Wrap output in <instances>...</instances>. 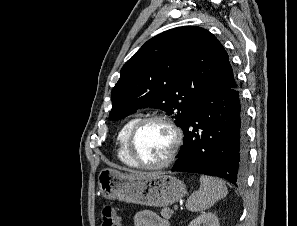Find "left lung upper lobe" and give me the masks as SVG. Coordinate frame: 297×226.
Returning <instances> with one entry per match:
<instances>
[{"label": "left lung upper lobe", "mask_w": 297, "mask_h": 226, "mask_svg": "<svg viewBox=\"0 0 297 226\" xmlns=\"http://www.w3.org/2000/svg\"><path fill=\"white\" fill-rule=\"evenodd\" d=\"M112 90L111 120L151 107L183 127L203 95L237 86L219 40L206 29L178 27L148 40L122 67Z\"/></svg>", "instance_id": "1"}]
</instances>
